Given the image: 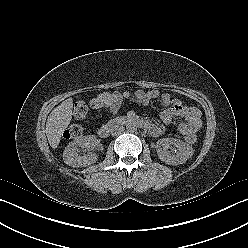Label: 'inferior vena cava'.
I'll use <instances>...</instances> for the list:
<instances>
[{
  "instance_id": "inferior-vena-cava-1",
  "label": "inferior vena cava",
  "mask_w": 248,
  "mask_h": 248,
  "mask_svg": "<svg viewBox=\"0 0 248 248\" xmlns=\"http://www.w3.org/2000/svg\"><path fill=\"white\" fill-rule=\"evenodd\" d=\"M124 130V128L122 126H115L112 128L111 130V134L112 135H119L121 134V132Z\"/></svg>"
}]
</instances>
